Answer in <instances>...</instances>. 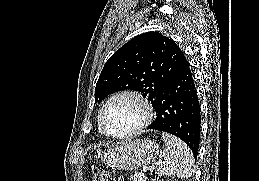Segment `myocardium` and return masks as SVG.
Returning <instances> with one entry per match:
<instances>
[{"mask_svg": "<svg viewBox=\"0 0 259 181\" xmlns=\"http://www.w3.org/2000/svg\"><path fill=\"white\" fill-rule=\"evenodd\" d=\"M120 98H132L134 99L141 107L142 109V119L141 122L132 130L123 133V134H113L109 132L106 128L105 125V113L107 108L110 106L111 103L114 101L120 99ZM154 117V111L151 103L149 100L139 91L137 90H132V89H126L119 91L115 94H113L108 100L104 103L102 106L98 121H99V126L102 130V132L113 139H127L136 136L139 134L141 131H143L146 127L149 126V124L152 122V119Z\"/></svg>", "mask_w": 259, "mask_h": 181, "instance_id": "obj_1", "label": "myocardium"}]
</instances>
